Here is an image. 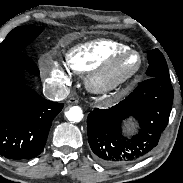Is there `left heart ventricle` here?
<instances>
[{"label":"left heart ventricle","instance_id":"1","mask_svg":"<svg viewBox=\"0 0 183 183\" xmlns=\"http://www.w3.org/2000/svg\"><path fill=\"white\" fill-rule=\"evenodd\" d=\"M139 59L136 55L128 54L124 56L117 64L115 76L120 78L131 73L138 66Z\"/></svg>","mask_w":183,"mask_h":183}]
</instances>
